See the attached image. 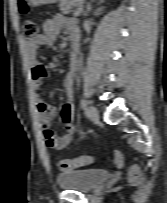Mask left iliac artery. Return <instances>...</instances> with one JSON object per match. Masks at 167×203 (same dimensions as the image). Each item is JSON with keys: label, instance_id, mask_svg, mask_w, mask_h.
<instances>
[{"label": "left iliac artery", "instance_id": "left-iliac-artery-1", "mask_svg": "<svg viewBox=\"0 0 167 203\" xmlns=\"http://www.w3.org/2000/svg\"><path fill=\"white\" fill-rule=\"evenodd\" d=\"M80 105L82 109H85L87 106V101L85 99H81L80 100Z\"/></svg>", "mask_w": 167, "mask_h": 203}]
</instances>
